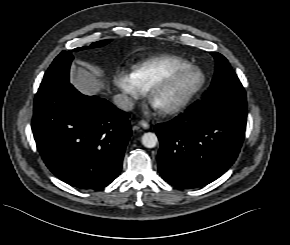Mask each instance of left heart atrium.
I'll list each match as a JSON object with an SVG mask.
<instances>
[{"label":"left heart atrium","mask_w":290,"mask_h":245,"mask_svg":"<svg viewBox=\"0 0 290 245\" xmlns=\"http://www.w3.org/2000/svg\"><path fill=\"white\" fill-rule=\"evenodd\" d=\"M153 104L157 107V108H159L154 102H153ZM160 109V108H159Z\"/></svg>","instance_id":"obj_1"}]
</instances>
